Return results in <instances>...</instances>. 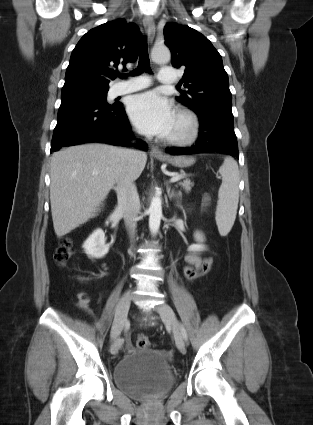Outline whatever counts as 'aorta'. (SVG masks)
<instances>
[{
  "instance_id": "obj_1",
  "label": "aorta",
  "mask_w": 313,
  "mask_h": 425,
  "mask_svg": "<svg viewBox=\"0 0 313 425\" xmlns=\"http://www.w3.org/2000/svg\"><path fill=\"white\" fill-rule=\"evenodd\" d=\"M151 57L154 62L167 63L170 61V50L165 46H156L152 49ZM159 193V191H158ZM149 228L152 235H156L159 231L162 217V200L159 195L152 198L149 207Z\"/></svg>"
}]
</instances>
